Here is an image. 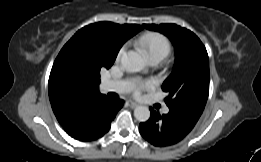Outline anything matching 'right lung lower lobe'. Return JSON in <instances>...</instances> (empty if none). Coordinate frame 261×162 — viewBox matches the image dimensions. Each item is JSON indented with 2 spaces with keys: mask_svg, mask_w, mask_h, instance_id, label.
Returning a JSON list of instances; mask_svg holds the SVG:
<instances>
[{
  "mask_svg": "<svg viewBox=\"0 0 261 162\" xmlns=\"http://www.w3.org/2000/svg\"><path fill=\"white\" fill-rule=\"evenodd\" d=\"M123 103V100L113 101L107 97L101 98L62 126L74 139L80 141L96 140L109 131L111 121L122 108Z\"/></svg>",
  "mask_w": 261,
  "mask_h": 162,
  "instance_id": "98d812e1",
  "label": "right lung lower lobe"
}]
</instances>
